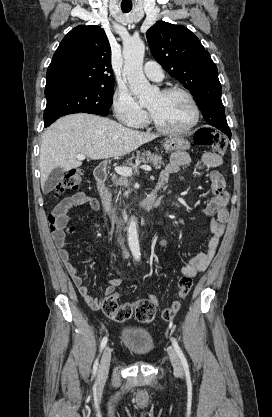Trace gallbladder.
Returning <instances> with one entry per match:
<instances>
[{
    "mask_svg": "<svg viewBox=\"0 0 272 417\" xmlns=\"http://www.w3.org/2000/svg\"><path fill=\"white\" fill-rule=\"evenodd\" d=\"M64 174L65 171L60 167L53 169L45 182L44 192L49 193L54 190L60 180L64 177Z\"/></svg>",
    "mask_w": 272,
    "mask_h": 417,
    "instance_id": "gallbladder-1",
    "label": "gallbladder"
}]
</instances>
